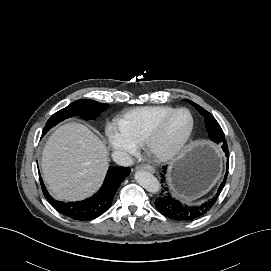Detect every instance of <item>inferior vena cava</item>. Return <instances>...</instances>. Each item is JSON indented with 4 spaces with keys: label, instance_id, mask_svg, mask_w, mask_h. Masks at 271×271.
<instances>
[{
    "label": "inferior vena cava",
    "instance_id": "obj_1",
    "mask_svg": "<svg viewBox=\"0 0 271 271\" xmlns=\"http://www.w3.org/2000/svg\"><path fill=\"white\" fill-rule=\"evenodd\" d=\"M112 158L114 162L120 166H131L133 164L132 158L128 153L124 151H114L112 153Z\"/></svg>",
    "mask_w": 271,
    "mask_h": 271
}]
</instances>
